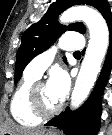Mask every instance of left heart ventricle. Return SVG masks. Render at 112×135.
<instances>
[{"label":"left heart ventricle","instance_id":"left-heart-ventricle-1","mask_svg":"<svg viewBox=\"0 0 112 135\" xmlns=\"http://www.w3.org/2000/svg\"><path fill=\"white\" fill-rule=\"evenodd\" d=\"M40 99L43 107L46 109H52L59 104V101H57L50 93L47 84L40 87Z\"/></svg>","mask_w":112,"mask_h":135}]
</instances>
